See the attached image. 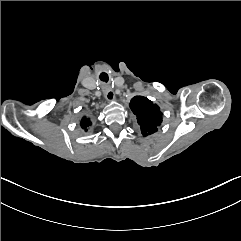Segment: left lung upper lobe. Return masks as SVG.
Masks as SVG:
<instances>
[{
  "instance_id": "obj_1",
  "label": "left lung upper lobe",
  "mask_w": 241,
  "mask_h": 241,
  "mask_svg": "<svg viewBox=\"0 0 241 241\" xmlns=\"http://www.w3.org/2000/svg\"><path fill=\"white\" fill-rule=\"evenodd\" d=\"M130 108L137 116L143 136L153 134L158 130L162 122V113L156 104L146 97L135 96L131 99Z\"/></svg>"
}]
</instances>
